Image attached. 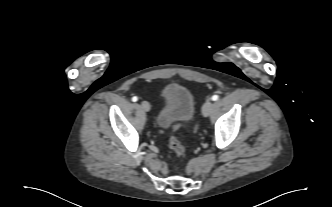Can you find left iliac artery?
<instances>
[{
  "label": "left iliac artery",
  "mask_w": 332,
  "mask_h": 207,
  "mask_svg": "<svg viewBox=\"0 0 332 207\" xmlns=\"http://www.w3.org/2000/svg\"><path fill=\"white\" fill-rule=\"evenodd\" d=\"M218 98H219V96H218V95H213V96L211 97V99H212L213 101H216V100H218Z\"/></svg>",
  "instance_id": "left-iliac-artery-1"
}]
</instances>
